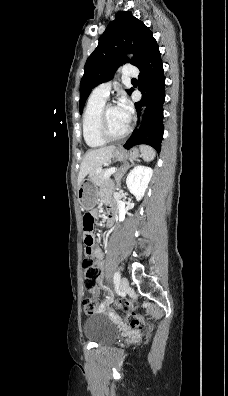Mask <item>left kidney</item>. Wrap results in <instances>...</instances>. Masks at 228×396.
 <instances>
[{
	"instance_id": "obj_1",
	"label": "left kidney",
	"mask_w": 228,
	"mask_h": 396,
	"mask_svg": "<svg viewBox=\"0 0 228 396\" xmlns=\"http://www.w3.org/2000/svg\"><path fill=\"white\" fill-rule=\"evenodd\" d=\"M152 175L153 170L143 165H137L128 174L126 179L127 188L136 197L137 201L143 198Z\"/></svg>"
}]
</instances>
